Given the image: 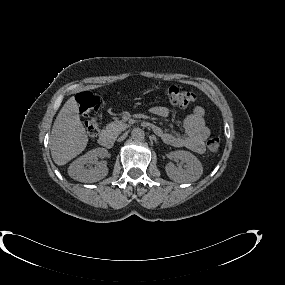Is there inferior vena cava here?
<instances>
[{
    "label": "inferior vena cava",
    "mask_w": 285,
    "mask_h": 285,
    "mask_svg": "<svg viewBox=\"0 0 285 285\" xmlns=\"http://www.w3.org/2000/svg\"><path fill=\"white\" fill-rule=\"evenodd\" d=\"M125 140V137L123 135H120L117 139H116V142L118 144H121L123 141Z\"/></svg>",
    "instance_id": "1"
}]
</instances>
